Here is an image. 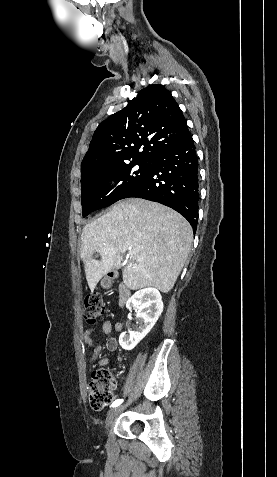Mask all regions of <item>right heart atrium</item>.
<instances>
[{
	"mask_svg": "<svg viewBox=\"0 0 277 477\" xmlns=\"http://www.w3.org/2000/svg\"><path fill=\"white\" fill-rule=\"evenodd\" d=\"M107 184H108V185H113V184H115V179H114V178H108Z\"/></svg>",
	"mask_w": 277,
	"mask_h": 477,
	"instance_id": "obj_1",
	"label": "right heart atrium"
}]
</instances>
